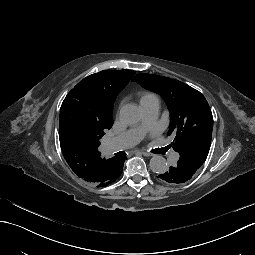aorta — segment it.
Here are the masks:
<instances>
[{
  "instance_id": "1",
  "label": "aorta",
  "mask_w": 255,
  "mask_h": 255,
  "mask_svg": "<svg viewBox=\"0 0 255 255\" xmlns=\"http://www.w3.org/2000/svg\"><path fill=\"white\" fill-rule=\"evenodd\" d=\"M120 118L123 122L132 125L140 120L141 111L134 104H126L120 110ZM149 165L151 170L158 174H163L168 170L166 159L160 155H154L150 159Z\"/></svg>"
}]
</instances>
